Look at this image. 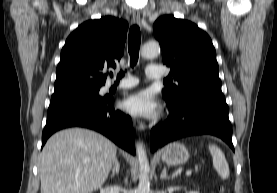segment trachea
Masks as SVG:
<instances>
[{
  "instance_id": "trachea-1",
  "label": "trachea",
  "mask_w": 277,
  "mask_h": 193,
  "mask_svg": "<svg viewBox=\"0 0 277 193\" xmlns=\"http://www.w3.org/2000/svg\"><path fill=\"white\" fill-rule=\"evenodd\" d=\"M141 43V33L137 25H133L130 28L128 36V51L130 54V65L133 67L136 65L139 56V49ZM112 76V74H111ZM124 76V72H120L117 76V80Z\"/></svg>"
}]
</instances>
